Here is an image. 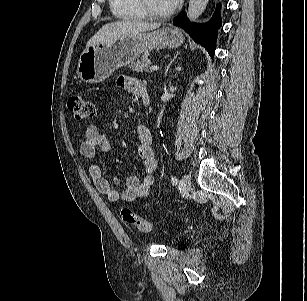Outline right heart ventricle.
<instances>
[{"mask_svg": "<svg viewBox=\"0 0 307 301\" xmlns=\"http://www.w3.org/2000/svg\"><path fill=\"white\" fill-rule=\"evenodd\" d=\"M115 17L121 20H141L146 17L137 0H109Z\"/></svg>", "mask_w": 307, "mask_h": 301, "instance_id": "obj_1", "label": "right heart ventricle"}]
</instances>
